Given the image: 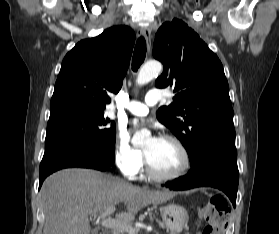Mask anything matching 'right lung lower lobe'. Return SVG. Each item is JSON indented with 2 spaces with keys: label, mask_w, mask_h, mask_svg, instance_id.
Returning a JSON list of instances; mask_svg holds the SVG:
<instances>
[{
  "label": "right lung lower lobe",
  "mask_w": 279,
  "mask_h": 234,
  "mask_svg": "<svg viewBox=\"0 0 279 234\" xmlns=\"http://www.w3.org/2000/svg\"><path fill=\"white\" fill-rule=\"evenodd\" d=\"M111 165L85 146L72 143L60 145L44 153L40 164L39 188L48 175L63 168L83 167L106 171Z\"/></svg>",
  "instance_id": "obj_1"
}]
</instances>
